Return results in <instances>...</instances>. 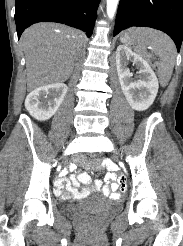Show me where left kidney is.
Here are the masks:
<instances>
[{
    "instance_id": "1",
    "label": "left kidney",
    "mask_w": 183,
    "mask_h": 246,
    "mask_svg": "<svg viewBox=\"0 0 183 246\" xmlns=\"http://www.w3.org/2000/svg\"><path fill=\"white\" fill-rule=\"evenodd\" d=\"M132 61L139 69L140 78L133 81L127 68ZM116 67L121 89L130 106L137 111L148 109L154 102L158 92V79L149 63L125 45L116 50Z\"/></svg>"
}]
</instances>
